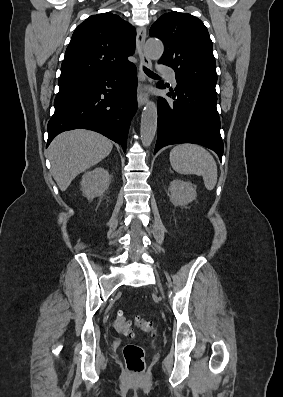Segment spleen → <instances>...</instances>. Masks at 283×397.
I'll use <instances>...</instances> for the list:
<instances>
[{
  "label": "spleen",
  "instance_id": "1",
  "mask_svg": "<svg viewBox=\"0 0 283 397\" xmlns=\"http://www.w3.org/2000/svg\"><path fill=\"white\" fill-rule=\"evenodd\" d=\"M172 168L184 175H201L207 190H213L217 183V164L213 156L202 146L179 144L170 152Z\"/></svg>",
  "mask_w": 283,
  "mask_h": 397
}]
</instances>
